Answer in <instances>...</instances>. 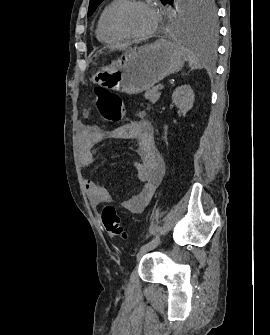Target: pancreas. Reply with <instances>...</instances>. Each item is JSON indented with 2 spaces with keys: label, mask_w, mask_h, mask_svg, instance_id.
Wrapping results in <instances>:
<instances>
[{
  "label": "pancreas",
  "mask_w": 270,
  "mask_h": 335,
  "mask_svg": "<svg viewBox=\"0 0 270 335\" xmlns=\"http://www.w3.org/2000/svg\"><path fill=\"white\" fill-rule=\"evenodd\" d=\"M160 86H155V88H152V90H146L145 92V98L146 100H149V102H151V104H155V102H157V100H159L161 94L160 92H158Z\"/></svg>",
  "instance_id": "1"
}]
</instances>
